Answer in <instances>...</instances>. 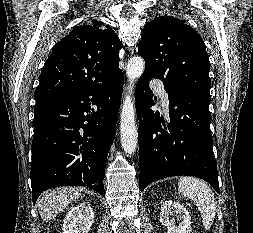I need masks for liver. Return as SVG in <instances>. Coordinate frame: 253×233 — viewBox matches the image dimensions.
I'll return each instance as SVG.
<instances>
[{
	"label": "liver",
	"mask_w": 253,
	"mask_h": 233,
	"mask_svg": "<svg viewBox=\"0 0 253 233\" xmlns=\"http://www.w3.org/2000/svg\"><path fill=\"white\" fill-rule=\"evenodd\" d=\"M82 189L74 187H59L44 193L38 201L40 216L50 221L66 206L81 196Z\"/></svg>",
	"instance_id": "6515ba94"
}]
</instances>
